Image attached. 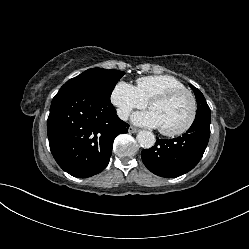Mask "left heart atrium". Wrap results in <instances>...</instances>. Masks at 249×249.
<instances>
[{"label":"left heart atrium","mask_w":249,"mask_h":249,"mask_svg":"<svg viewBox=\"0 0 249 249\" xmlns=\"http://www.w3.org/2000/svg\"><path fill=\"white\" fill-rule=\"evenodd\" d=\"M132 120L134 123L139 125L159 127V121L152 111L136 113L133 115Z\"/></svg>","instance_id":"obj_1"}]
</instances>
